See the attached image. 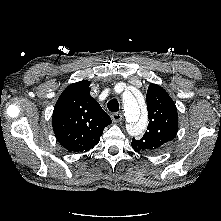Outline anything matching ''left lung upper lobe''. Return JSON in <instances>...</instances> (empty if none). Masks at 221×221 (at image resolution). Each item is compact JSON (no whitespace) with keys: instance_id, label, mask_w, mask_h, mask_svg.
Instances as JSON below:
<instances>
[{"instance_id":"1","label":"left lung upper lobe","mask_w":221,"mask_h":221,"mask_svg":"<svg viewBox=\"0 0 221 221\" xmlns=\"http://www.w3.org/2000/svg\"><path fill=\"white\" fill-rule=\"evenodd\" d=\"M146 102L149 116L147 131L140 140L132 139V147L137 152L156 154L176 136L178 113L172 98L157 84L149 86Z\"/></svg>"}]
</instances>
